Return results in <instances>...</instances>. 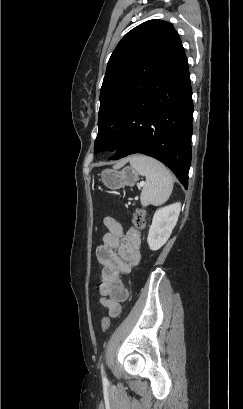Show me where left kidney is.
<instances>
[{"label":"left kidney","mask_w":243,"mask_h":409,"mask_svg":"<svg viewBox=\"0 0 243 409\" xmlns=\"http://www.w3.org/2000/svg\"><path fill=\"white\" fill-rule=\"evenodd\" d=\"M180 210L181 204L174 203L155 212L147 237L151 250L156 251L167 242L178 221Z\"/></svg>","instance_id":"5707ae66"}]
</instances>
